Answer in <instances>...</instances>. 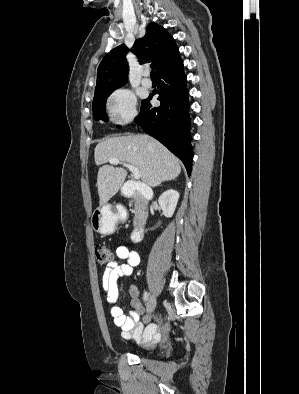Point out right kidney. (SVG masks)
Here are the masks:
<instances>
[{
    "instance_id": "1",
    "label": "right kidney",
    "mask_w": 299,
    "mask_h": 394,
    "mask_svg": "<svg viewBox=\"0 0 299 394\" xmlns=\"http://www.w3.org/2000/svg\"><path fill=\"white\" fill-rule=\"evenodd\" d=\"M179 199L178 191L169 189L161 194L158 199L159 205L165 217L173 216Z\"/></svg>"
}]
</instances>
